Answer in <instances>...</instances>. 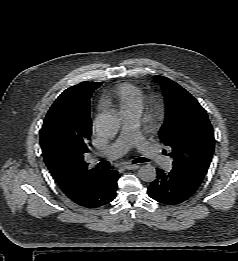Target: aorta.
<instances>
[{
  "instance_id": "obj_1",
  "label": "aorta",
  "mask_w": 238,
  "mask_h": 261,
  "mask_svg": "<svg viewBox=\"0 0 238 261\" xmlns=\"http://www.w3.org/2000/svg\"><path fill=\"white\" fill-rule=\"evenodd\" d=\"M121 118L115 112L100 114L96 120V132L103 137H113L120 129ZM142 181L153 182L156 179V169L151 164H145L138 170Z\"/></svg>"
}]
</instances>
